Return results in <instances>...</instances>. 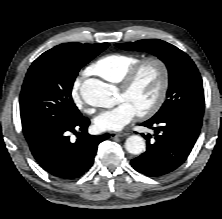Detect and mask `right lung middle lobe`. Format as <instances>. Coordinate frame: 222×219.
Segmentation results:
<instances>
[{
	"label": "right lung middle lobe",
	"mask_w": 222,
	"mask_h": 219,
	"mask_svg": "<svg viewBox=\"0 0 222 219\" xmlns=\"http://www.w3.org/2000/svg\"><path fill=\"white\" fill-rule=\"evenodd\" d=\"M108 45L64 43L32 63L20 94L22 129L27 141L82 115L71 96L75 78Z\"/></svg>",
	"instance_id": "right-lung-middle-lobe-1"
}]
</instances>
